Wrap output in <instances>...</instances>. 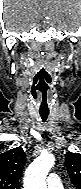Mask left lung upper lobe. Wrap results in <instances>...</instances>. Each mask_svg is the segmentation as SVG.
Segmentation results:
<instances>
[{
    "label": "left lung upper lobe",
    "instance_id": "5c2ea615",
    "mask_svg": "<svg viewBox=\"0 0 81 189\" xmlns=\"http://www.w3.org/2000/svg\"><path fill=\"white\" fill-rule=\"evenodd\" d=\"M65 164L70 180L77 189H81V154L67 152Z\"/></svg>",
    "mask_w": 81,
    "mask_h": 189
}]
</instances>
